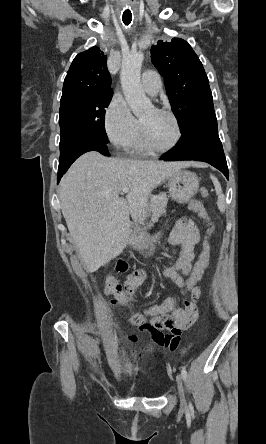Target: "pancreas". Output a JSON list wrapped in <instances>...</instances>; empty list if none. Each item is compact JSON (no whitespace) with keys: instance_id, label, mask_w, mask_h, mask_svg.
Segmentation results:
<instances>
[{"instance_id":"cf45deb5","label":"pancreas","mask_w":266,"mask_h":444,"mask_svg":"<svg viewBox=\"0 0 266 444\" xmlns=\"http://www.w3.org/2000/svg\"><path fill=\"white\" fill-rule=\"evenodd\" d=\"M167 203L168 197L165 194H160L151 199L148 205V211L152 213V220L166 213Z\"/></svg>"}]
</instances>
